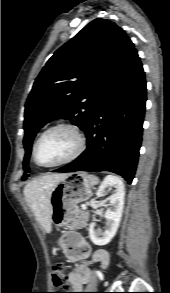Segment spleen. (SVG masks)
Returning a JSON list of instances; mask_svg holds the SVG:
<instances>
[{
	"label": "spleen",
	"mask_w": 170,
	"mask_h": 293,
	"mask_svg": "<svg viewBox=\"0 0 170 293\" xmlns=\"http://www.w3.org/2000/svg\"><path fill=\"white\" fill-rule=\"evenodd\" d=\"M88 177H89V180H90V182L92 183V185L98 184L99 179H98L96 176H94V175H89Z\"/></svg>",
	"instance_id": "3e777b00"
}]
</instances>
